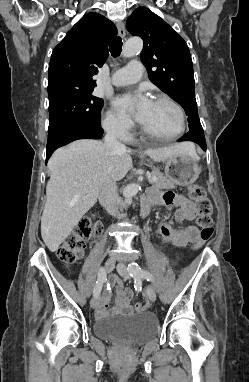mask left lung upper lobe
I'll use <instances>...</instances> for the list:
<instances>
[{"instance_id":"obj_1","label":"left lung upper lobe","mask_w":249,"mask_h":382,"mask_svg":"<svg viewBox=\"0 0 249 382\" xmlns=\"http://www.w3.org/2000/svg\"><path fill=\"white\" fill-rule=\"evenodd\" d=\"M127 29L144 41L140 59L150 81L183 107L190 131H203L195 99L193 63L184 39L145 7L130 15Z\"/></svg>"}]
</instances>
